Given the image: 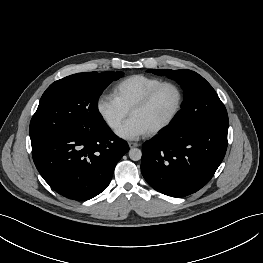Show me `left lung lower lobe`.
<instances>
[{
  "mask_svg": "<svg viewBox=\"0 0 263 263\" xmlns=\"http://www.w3.org/2000/svg\"><path fill=\"white\" fill-rule=\"evenodd\" d=\"M228 123L193 132L167 127L142 146L141 171L155 190L172 197L190 195L213 177L227 149Z\"/></svg>",
  "mask_w": 263,
  "mask_h": 263,
  "instance_id": "1",
  "label": "left lung lower lobe"
}]
</instances>
